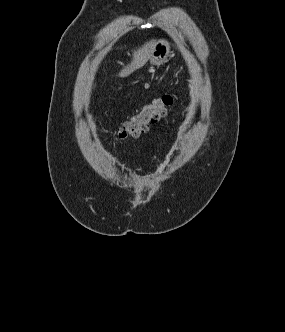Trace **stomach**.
I'll list each match as a JSON object with an SVG mask.
<instances>
[{"instance_id": "0dacf381", "label": "stomach", "mask_w": 285, "mask_h": 332, "mask_svg": "<svg viewBox=\"0 0 285 332\" xmlns=\"http://www.w3.org/2000/svg\"><path fill=\"white\" fill-rule=\"evenodd\" d=\"M171 54L172 51L170 43L163 39L158 40L153 47L150 62L159 66L163 64Z\"/></svg>"}]
</instances>
